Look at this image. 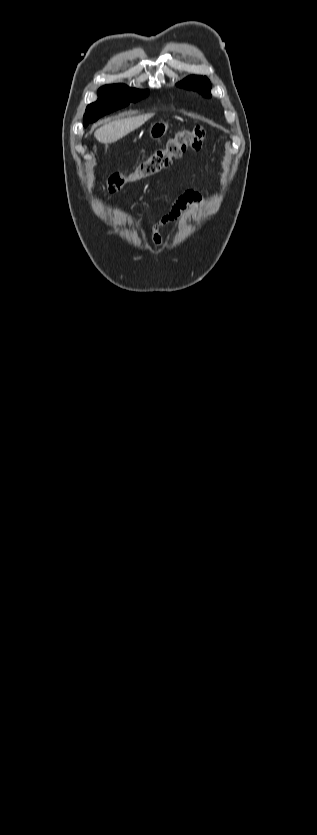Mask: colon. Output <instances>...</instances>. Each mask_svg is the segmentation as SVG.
Listing matches in <instances>:
<instances>
[{
	"instance_id": "obj_1",
	"label": "colon",
	"mask_w": 317,
	"mask_h": 835,
	"mask_svg": "<svg viewBox=\"0 0 317 835\" xmlns=\"http://www.w3.org/2000/svg\"><path fill=\"white\" fill-rule=\"evenodd\" d=\"M205 143L206 132L204 128L196 126L193 129L180 130L163 147L154 150L131 173L110 175L106 180L105 187L110 192H118L125 185L147 178L166 168L173 158L179 157L187 148L199 150L205 146Z\"/></svg>"
}]
</instances>
